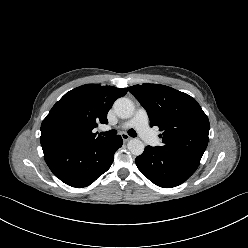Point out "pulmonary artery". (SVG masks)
Here are the masks:
<instances>
[{
	"label": "pulmonary artery",
	"mask_w": 248,
	"mask_h": 248,
	"mask_svg": "<svg viewBox=\"0 0 248 248\" xmlns=\"http://www.w3.org/2000/svg\"><path fill=\"white\" fill-rule=\"evenodd\" d=\"M123 129L134 128L148 144L156 145L159 140L148 125V114L143 108L136 110L133 117L121 125Z\"/></svg>",
	"instance_id": "obj_1"
}]
</instances>
